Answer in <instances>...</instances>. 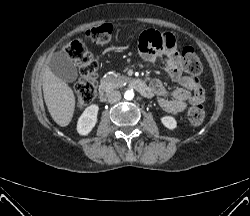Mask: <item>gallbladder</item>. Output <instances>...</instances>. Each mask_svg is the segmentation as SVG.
Masks as SVG:
<instances>
[{"mask_svg":"<svg viewBox=\"0 0 250 216\" xmlns=\"http://www.w3.org/2000/svg\"><path fill=\"white\" fill-rule=\"evenodd\" d=\"M48 66L54 75L65 82H73L78 77L75 63L63 52L55 53L49 60Z\"/></svg>","mask_w":250,"mask_h":216,"instance_id":"gallbladder-1","label":"gallbladder"}]
</instances>
